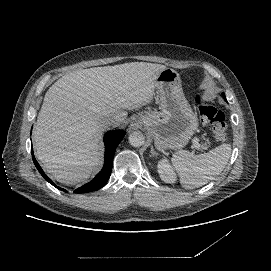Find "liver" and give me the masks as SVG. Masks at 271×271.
<instances>
[{
  "label": "liver",
  "instance_id": "obj_1",
  "mask_svg": "<svg viewBox=\"0 0 271 271\" xmlns=\"http://www.w3.org/2000/svg\"><path fill=\"white\" fill-rule=\"evenodd\" d=\"M165 65L131 62L73 71L46 92L33 129L35 155L64 184L90 177L100 161L103 117L123 122L150 103Z\"/></svg>",
  "mask_w": 271,
  "mask_h": 271
}]
</instances>
